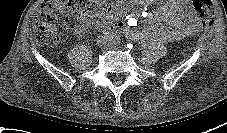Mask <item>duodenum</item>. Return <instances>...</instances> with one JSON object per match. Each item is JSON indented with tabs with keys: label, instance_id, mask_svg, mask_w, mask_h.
I'll return each mask as SVG.
<instances>
[{
	"label": "duodenum",
	"instance_id": "obj_1",
	"mask_svg": "<svg viewBox=\"0 0 227 133\" xmlns=\"http://www.w3.org/2000/svg\"><path fill=\"white\" fill-rule=\"evenodd\" d=\"M121 28L120 24L107 22L103 25V31L105 32H117Z\"/></svg>",
	"mask_w": 227,
	"mask_h": 133
}]
</instances>
